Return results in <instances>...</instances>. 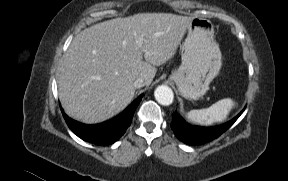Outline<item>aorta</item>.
I'll return each mask as SVG.
<instances>
[{"mask_svg": "<svg viewBox=\"0 0 288 181\" xmlns=\"http://www.w3.org/2000/svg\"><path fill=\"white\" fill-rule=\"evenodd\" d=\"M156 101L164 106L172 104L174 99L173 91L166 85L158 86L154 91Z\"/></svg>", "mask_w": 288, "mask_h": 181, "instance_id": "762f6f07", "label": "aorta"}]
</instances>
